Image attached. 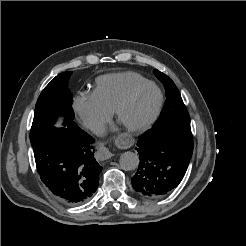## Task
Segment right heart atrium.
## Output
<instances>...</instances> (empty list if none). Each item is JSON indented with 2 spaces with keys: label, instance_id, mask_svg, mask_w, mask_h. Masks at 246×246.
<instances>
[{
  "label": "right heart atrium",
  "instance_id": "right-heart-atrium-1",
  "mask_svg": "<svg viewBox=\"0 0 246 246\" xmlns=\"http://www.w3.org/2000/svg\"><path fill=\"white\" fill-rule=\"evenodd\" d=\"M73 109L82 124L93 132L103 129L111 116L92 93L83 92L77 95L73 102Z\"/></svg>",
  "mask_w": 246,
  "mask_h": 246
}]
</instances>
